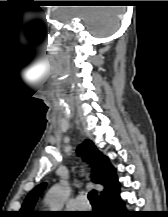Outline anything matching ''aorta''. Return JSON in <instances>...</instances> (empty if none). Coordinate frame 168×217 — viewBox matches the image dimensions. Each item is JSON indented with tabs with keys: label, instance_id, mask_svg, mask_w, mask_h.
Wrapping results in <instances>:
<instances>
[{
	"label": "aorta",
	"instance_id": "obj_1",
	"mask_svg": "<svg viewBox=\"0 0 168 217\" xmlns=\"http://www.w3.org/2000/svg\"><path fill=\"white\" fill-rule=\"evenodd\" d=\"M66 197L67 194L64 187L56 184L48 191L45 201L51 211H60L63 208Z\"/></svg>",
	"mask_w": 168,
	"mask_h": 217
}]
</instances>
